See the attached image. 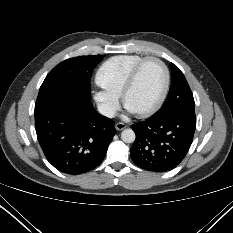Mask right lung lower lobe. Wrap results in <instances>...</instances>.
I'll use <instances>...</instances> for the list:
<instances>
[{
  "mask_svg": "<svg viewBox=\"0 0 233 233\" xmlns=\"http://www.w3.org/2000/svg\"><path fill=\"white\" fill-rule=\"evenodd\" d=\"M34 115L37 138L47 160L66 174H82L97 167L115 135L114 122L83 98L50 99L35 107Z\"/></svg>",
  "mask_w": 233,
  "mask_h": 233,
  "instance_id": "right-lung-lower-lobe-1",
  "label": "right lung lower lobe"
}]
</instances>
